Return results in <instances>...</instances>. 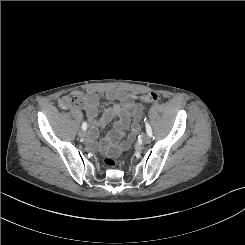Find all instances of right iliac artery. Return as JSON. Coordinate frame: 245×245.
Wrapping results in <instances>:
<instances>
[{"label":"right iliac artery","mask_w":245,"mask_h":245,"mask_svg":"<svg viewBox=\"0 0 245 245\" xmlns=\"http://www.w3.org/2000/svg\"><path fill=\"white\" fill-rule=\"evenodd\" d=\"M82 129H83V130H86V129H87V123H86V122H83V123H82Z\"/></svg>","instance_id":"right-iliac-artery-1"}]
</instances>
